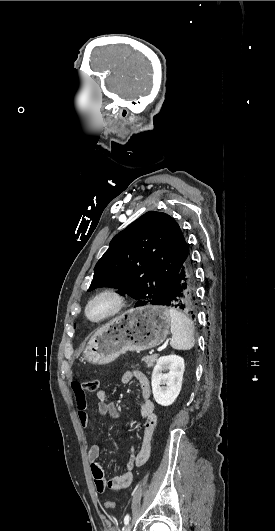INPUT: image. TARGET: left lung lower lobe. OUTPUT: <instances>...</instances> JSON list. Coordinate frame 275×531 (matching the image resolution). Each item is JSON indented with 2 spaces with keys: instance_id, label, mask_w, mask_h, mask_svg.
I'll return each mask as SVG.
<instances>
[{
  "instance_id": "obj_1",
  "label": "left lung lower lobe",
  "mask_w": 275,
  "mask_h": 531,
  "mask_svg": "<svg viewBox=\"0 0 275 531\" xmlns=\"http://www.w3.org/2000/svg\"><path fill=\"white\" fill-rule=\"evenodd\" d=\"M197 298L195 274L192 260L188 254L178 272L170 294L160 305L182 310L195 317L198 305Z\"/></svg>"
}]
</instances>
